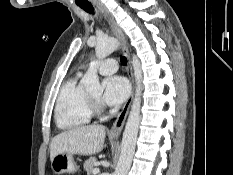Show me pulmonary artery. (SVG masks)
I'll return each mask as SVG.
<instances>
[{
    "label": "pulmonary artery",
    "mask_w": 233,
    "mask_h": 175,
    "mask_svg": "<svg viewBox=\"0 0 233 175\" xmlns=\"http://www.w3.org/2000/svg\"><path fill=\"white\" fill-rule=\"evenodd\" d=\"M96 67L102 75H110L117 70L118 64L114 59H107L103 62L96 63Z\"/></svg>",
    "instance_id": "obj_1"
}]
</instances>
